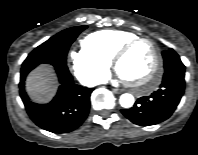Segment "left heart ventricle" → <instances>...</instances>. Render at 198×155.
<instances>
[{
    "label": "left heart ventricle",
    "mask_w": 198,
    "mask_h": 155,
    "mask_svg": "<svg viewBox=\"0 0 198 155\" xmlns=\"http://www.w3.org/2000/svg\"><path fill=\"white\" fill-rule=\"evenodd\" d=\"M154 51L147 42H139L118 63L117 70L129 82L141 83L154 64Z\"/></svg>",
    "instance_id": "obj_1"
}]
</instances>
